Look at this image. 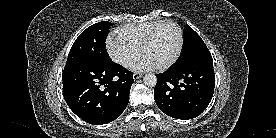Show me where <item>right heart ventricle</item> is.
Segmentation results:
<instances>
[{
    "instance_id": "1",
    "label": "right heart ventricle",
    "mask_w": 276,
    "mask_h": 138,
    "mask_svg": "<svg viewBox=\"0 0 276 138\" xmlns=\"http://www.w3.org/2000/svg\"><path fill=\"white\" fill-rule=\"evenodd\" d=\"M162 20H153L142 23L130 24L124 28L118 30L117 34L130 41L132 44L141 48L142 44L150 34V32L161 22Z\"/></svg>"
}]
</instances>
